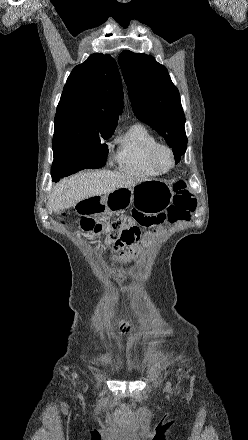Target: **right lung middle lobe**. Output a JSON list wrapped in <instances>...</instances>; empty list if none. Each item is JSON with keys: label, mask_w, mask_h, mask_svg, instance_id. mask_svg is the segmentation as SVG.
Listing matches in <instances>:
<instances>
[{"label": "right lung middle lobe", "mask_w": 248, "mask_h": 440, "mask_svg": "<svg viewBox=\"0 0 248 440\" xmlns=\"http://www.w3.org/2000/svg\"><path fill=\"white\" fill-rule=\"evenodd\" d=\"M113 133L114 130L94 132L80 140L53 147L54 161L51 168L53 181L82 169L103 167L108 153L104 140Z\"/></svg>", "instance_id": "1"}]
</instances>
